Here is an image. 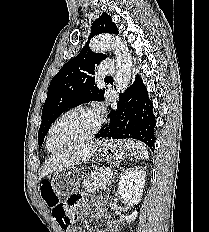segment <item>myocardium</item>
I'll return each mask as SVG.
<instances>
[{"mask_svg": "<svg viewBox=\"0 0 209 232\" xmlns=\"http://www.w3.org/2000/svg\"><path fill=\"white\" fill-rule=\"evenodd\" d=\"M74 112H84L87 114H90L91 116L94 117L95 122L94 124L85 132L78 134L76 136L73 137H69L68 139L65 140L64 144L61 145L60 147L56 148V149H52L50 147V140L52 138V134L54 129L58 126V124L68 115L74 113ZM103 123V117L102 115L95 109H92L90 107L87 106H83V105H79V106H74L72 108H69L68 110L64 111L63 113H61L56 119L55 121L52 123V125L49 128L48 131V135L46 138V146L47 149L50 151H57L58 149H61L63 147H65L66 145L72 143V142H76V141H80L83 139H86L88 137H91L92 135L96 134L98 132V130L100 129L101 125Z\"/></svg>", "mask_w": 209, "mask_h": 232, "instance_id": "myocardium-1", "label": "myocardium"}]
</instances>
